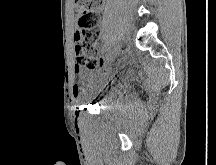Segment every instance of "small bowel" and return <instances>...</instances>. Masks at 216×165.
<instances>
[{
	"label": "small bowel",
	"instance_id": "c3829d8e",
	"mask_svg": "<svg viewBox=\"0 0 216 165\" xmlns=\"http://www.w3.org/2000/svg\"><path fill=\"white\" fill-rule=\"evenodd\" d=\"M102 10H103V8H102V7H99L98 10H97V12L100 13V12H102ZM83 78H84V80L86 81L87 84L90 83V79H89V77H88L87 75H84ZM82 92H84V89L79 88V87H78V88L76 87V88L73 90V97H74V98L78 97V96L80 95V93H82Z\"/></svg>",
	"mask_w": 216,
	"mask_h": 165
}]
</instances>
